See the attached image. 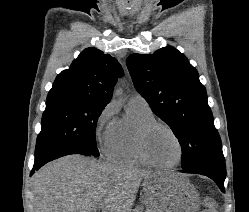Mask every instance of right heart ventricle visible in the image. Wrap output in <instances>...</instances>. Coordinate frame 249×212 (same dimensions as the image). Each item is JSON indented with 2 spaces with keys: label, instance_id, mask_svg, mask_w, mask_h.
Masks as SVG:
<instances>
[{
  "label": "right heart ventricle",
  "instance_id": "e07e8e85",
  "mask_svg": "<svg viewBox=\"0 0 249 212\" xmlns=\"http://www.w3.org/2000/svg\"><path fill=\"white\" fill-rule=\"evenodd\" d=\"M156 120L149 106L129 102L126 116L114 121L112 138L106 151L107 157L117 163L132 166H147L137 147L138 129L147 122Z\"/></svg>",
  "mask_w": 249,
  "mask_h": 212
}]
</instances>
